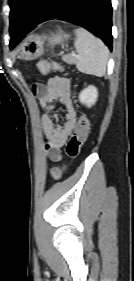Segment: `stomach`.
<instances>
[{
  "mask_svg": "<svg viewBox=\"0 0 134 281\" xmlns=\"http://www.w3.org/2000/svg\"><path fill=\"white\" fill-rule=\"evenodd\" d=\"M67 35L62 32L51 35L48 38L49 45H57L66 39ZM44 52V40L39 36H31L24 43L21 51V57L25 60H34L40 57Z\"/></svg>",
  "mask_w": 134,
  "mask_h": 281,
  "instance_id": "1",
  "label": "stomach"
}]
</instances>
